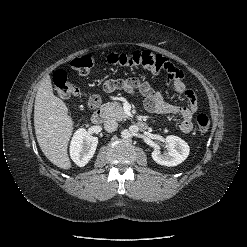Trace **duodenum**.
Wrapping results in <instances>:
<instances>
[{
    "mask_svg": "<svg viewBox=\"0 0 247 247\" xmlns=\"http://www.w3.org/2000/svg\"><path fill=\"white\" fill-rule=\"evenodd\" d=\"M104 119H105V112L103 109H96L91 115V121L94 124H101L104 121ZM137 126L142 130L147 128L146 122L142 120L138 121Z\"/></svg>",
    "mask_w": 247,
    "mask_h": 247,
    "instance_id": "1",
    "label": "duodenum"
}]
</instances>
